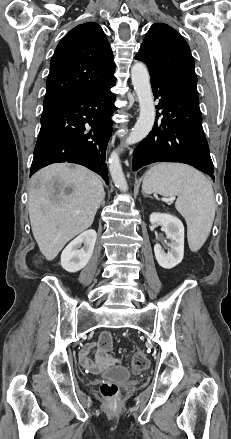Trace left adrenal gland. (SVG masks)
Returning a JSON list of instances; mask_svg holds the SVG:
<instances>
[{"label":"left adrenal gland","instance_id":"a2214340","mask_svg":"<svg viewBox=\"0 0 231 439\" xmlns=\"http://www.w3.org/2000/svg\"><path fill=\"white\" fill-rule=\"evenodd\" d=\"M143 195H144L145 197H147V195H145L144 193H143Z\"/></svg>","mask_w":231,"mask_h":439}]
</instances>
